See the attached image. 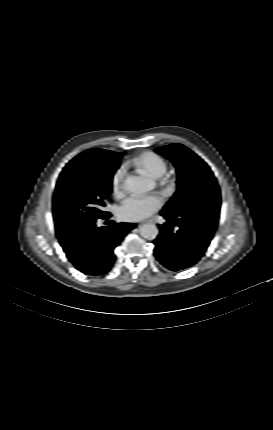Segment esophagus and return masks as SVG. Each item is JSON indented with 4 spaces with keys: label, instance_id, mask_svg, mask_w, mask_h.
I'll return each mask as SVG.
<instances>
[{
    "label": "esophagus",
    "instance_id": "obj_1",
    "mask_svg": "<svg viewBox=\"0 0 273 430\" xmlns=\"http://www.w3.org/2000/svg\"><path fill=\"white\" fill-rule=\"evenodd\" d=\"M143 223H153V221L152 220H148V221L143 222Z\"/></svg>",
    "mask_w": 273,
    "mask_h": 430
}]
</instances>
